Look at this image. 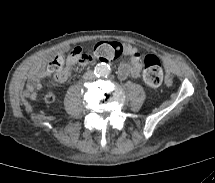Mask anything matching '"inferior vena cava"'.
<instances>
[{"label":"inferior vena cava","mask_w":215,"mask_h":183,"mask_svg":"<svg viewBox=\"0 0 215 183\" xmlns=\"http://www.w3.org/2000/svg\"><path fill=\"white\" fill-rule=\"evenodd\" d=\"M85 79H93L94 78V72L88 71L83 76Z\"/></svg>","instance_id":"inferior-vena-cava-1"}]
</instances>
